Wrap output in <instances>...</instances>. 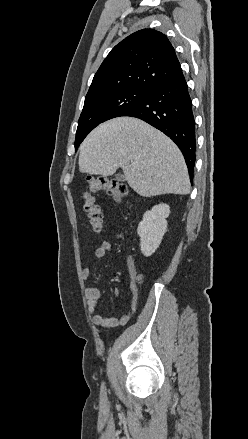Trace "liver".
I'll use <instances>...</instances> for the list:
<instances>
[{"label": "liver", "mask_w": 248, "mask_h": 439, "mask_svg": "<svg viewBox=\"0 0 248 439\" xmlns=\"http://www.w3.org/2000/svg\"><path fill=\"white\" fill-rule=\"evenodd\" d=\"M136 162V166H132ZM121 167L140 196L186 195L190 181L184 157L159 130L133 117H117L96 127L80 146L79 170L111 176Z\"/></svg>", "instance_id": "1"}]
</instances>
